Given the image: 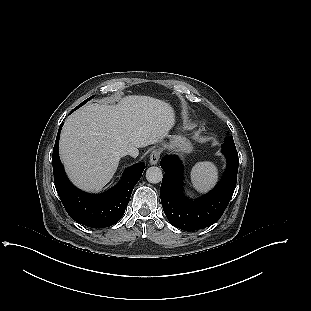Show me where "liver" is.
Wrapping results in <instances>:
<instances>
[{"instance_id":"1","label":"liver","mask_w":311,"mask_h":311,"mask_svg":"<svg viewBox=\"0 0 311 311\" xmlns=\"http://www.w3.org/2000/svg\"><path fill=\"white\" fill-rule=\"evenodd\" d=\"M174 124L170 104L148 96H126L117 105H85L63 126L60 157L77 187L99 191L121 157L136 158L138 148L163 142Z\"/></svg>"}]
</instances>
